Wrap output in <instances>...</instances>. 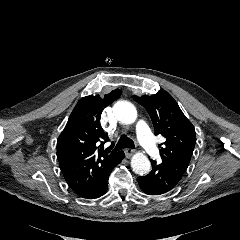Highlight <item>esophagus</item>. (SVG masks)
Masks as SVG:
<instances>
[{
    "mask_svg": "<svg viewBox=\"0 0 240 240\" xmlns=\"http://www.w3.org/2000/svg\"><path fill=\"white\" fill-rule=\"evenodd\" d=\"M124 152H125L126 157L129 158L135 153V150L132 148H126L124 150Z\"/></svg>",
    "mask_w": 240,
    "mask_h": 240,
    "instance_id": "esophagus-1",
    "label": "esophagus"
}]
</instances>
